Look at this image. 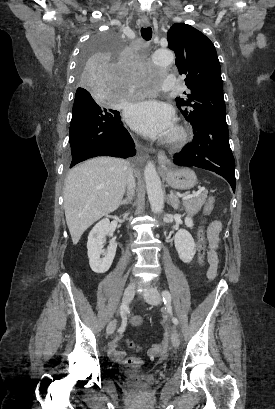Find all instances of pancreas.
Listing matches in <instances>:
<instances>
[{"label":"pancreas","mask_w":275,"mask_h":409,"mask_svg":"<svg viewBox=\"0 0 275 409\" xmlns=\"http://www.w3.org/2000/svg\"><path fill=\"white\" fill-rule=\"evenodd\" d=\"M208 190H204L201 194H197V196H192L189 200H184L183 205L186 207V211L189 217H193V215H197L198 211H200L201 207H203L204 202L207 198Z\"/></svg>","instance_id":"obj_1"}]
</instances>
